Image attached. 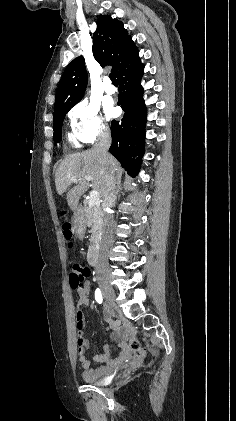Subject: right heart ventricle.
I'll return each instance as SVG.
<instances>
[{"instance_id": "right-heart-ventricle-1", "label": "right heart ventricle", "mask_w": 236, "mask_h": 421, "mask_svg": "<svg viewBox=\"0 0 236 421\" xmlns=\"http://www.w3.org/2000/svg\"><path fill=\"white\" fill-rule=\"evenodd\" d=\"M68 142L74 148H80L81 147L80 141L78 140V138L75 136L74 133L68 135Z\"/></svg>"}]
</instances>
